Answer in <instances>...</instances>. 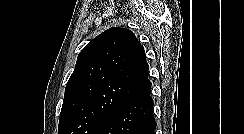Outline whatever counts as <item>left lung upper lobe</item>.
Instances as JSON below:
<instances>
[{
  "label": "left lung upper lobe",
  "instance_id": "left-lung-upper-lobe-1",
  "mask_svg": "<svg viewBox=\"0 0 244 134\" xmlns=\"http://www.w3.org/2000/svg\"><path fill=\"white\" fill-rule=\"evenodd\" d=\"M144 48L127 29L113 27L79 53L65 88L58 134H97L128 100L149 93Z\"/></svg>",
  "mask_w": 244,
  "mask_h": 134
}]
</instances>
